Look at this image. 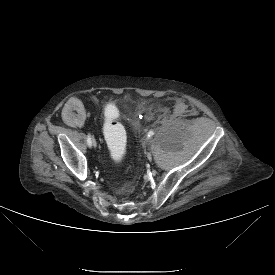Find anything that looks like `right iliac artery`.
Segmentation results:
<instances>
[{"label":"right iliac artery","instance_id":"obj_1","mask_svg":"<svg viewBox=\"0 0 275 275\" xmlns=\"http://www.w3.org/2000/svg\"><path fill=\"white\" fill-rule=\"evenodd\" d=\"M87 144H88L89 147L92 146V141H91V136H90V134L88 135V138H87Z\"/></svg>","mask_w":275,"mask_h":275}]
</instances>
